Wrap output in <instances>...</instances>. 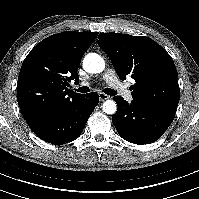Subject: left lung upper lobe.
<instances>
[{
  "label": "left lung upper lobe",
  "instance_id": "1",
  "mask_svg": "<svg viewBox=\"0 0 199 199\" xmlns=\"http://www.w3.org/2000/svg\"><path fill=\"white\" fill-rule=\"evenodd\" d=\"M98 39L120 79L130 75L135 80L133 99L175 114L180 99L178 73L164 48L144 36L111 32Z\"/></svg>",
  "mask_w": 199,
  "mask_h": 199
}]
</instances>
